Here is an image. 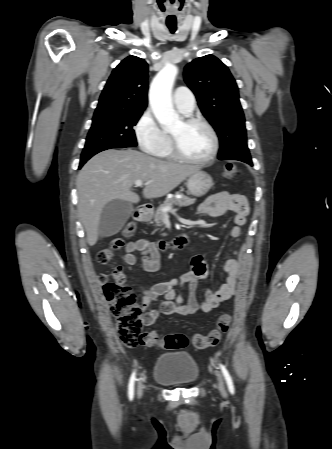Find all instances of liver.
Returning a JSON list of instances; mask_svg holds the SVG:
<instances>
[{
	"mask_svg": "<svg viewBox=\"0 0 332 449\" xmlns=\"http://www.w3.org/2000/svg\"><path fill=\"white\" fill-rule=\"evenodd\" d=\"M199 167L163 161L139 151L110 149L92 157L77 177L78 211L90 246L98 240L102 210L112 200L138 203L135 181L145 182L147 199L168 194Z\"/></svg>",
	"mask_w": 332,
	"mask_h": 449,
	"instance_id": "6515ba94",
	"label": "liver"
}]
</instances>
